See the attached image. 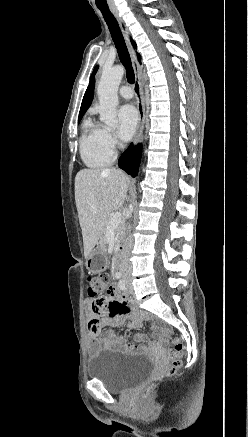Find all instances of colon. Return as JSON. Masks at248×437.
I'll list each match as a JSON object with an SVG mask.
<instances>
[{
	"label": "colon",
	"instance_id": "obj_1",
	"mask_svg": "<svg viewBox=\"0 0 248 437\" xmlns=\"http://www.w3.org/2000/svg\"><path fill=\"white\" fill-rule=\"evenodd\" d=\"M88 293L89 294H101L105 289L108 288L110 276L106 272L93 273L88 276ZM184 346L179 339L173 340V347L169 350L170 363L165 370V375L170 376L175 374L182 365L181 356L183 353ZM154 384H150L144 388L142 391V396L147 397Z\"/></svg>",
	"mask_w": 248,
	"mask_h": 437
}]
</instances>
